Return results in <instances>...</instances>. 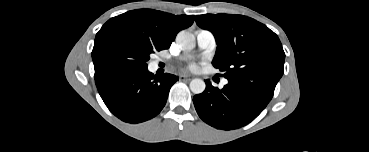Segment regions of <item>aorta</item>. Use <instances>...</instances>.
Wrapping results in <instances>:
<instances>
[{"label":"aorta","mask_w":369,"mask_h":152,"mask_svg":"<svg viewBox=\"0 0 369 152\" xmlns=\"http://www.w3.org/2000/svg\"><path fill=\"white\" fill-rule=\"evenodd\" d=\"M177 41L179 45L184 50H187V51L192 50L196 45L195 36L186 30H182L177 34ZM189 86H190V90L194 94H200L204 92L206 88L205 82L202 79H198V78L191 80Z\"/></svg>","instance_id":"1"}]
</instances>
